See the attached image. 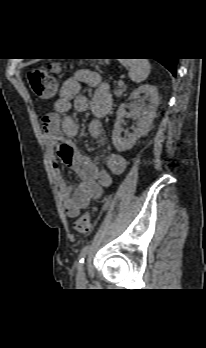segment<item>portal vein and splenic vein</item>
I'll return each mask as SVG.
<instances>
[{"label": "portal vein and splenic vein", "instance_id": "18ae733b", "mask_svg": "<svg viewBox=\"0 0 206 348\" xmlns=\"http://www.w3.org/2000/svg\"><path fill=\"white\" fill-rule=\"evenodd\" d=\"M122 84H123V81L119 80L118 85H122Z\"/></svg>", "mask_w": 206, "mask_h": 348}]
</instances>
